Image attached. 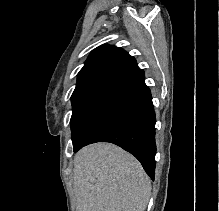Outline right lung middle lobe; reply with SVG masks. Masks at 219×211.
<instances>
[{
  "mask_svg": "<svg viewBox=\"0 0 219 211\" xmlns=\"http://www.w3.org/2000/svg\"><path fill=\"white\" fill-rule=\"evenodd\" d=\"M110 90L111 88H99L71 97L73 112L70 124L73 142Z\"/></svg>",
  "mask_w": 219,
  "mask_h": 211,
  "instance_id": "1",
  "label": "right lung middle lobe"
}]
</instances>
